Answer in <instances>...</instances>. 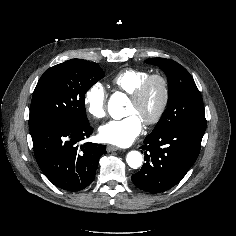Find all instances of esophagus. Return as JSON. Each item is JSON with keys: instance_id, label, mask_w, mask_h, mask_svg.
Returning a JSON list of instances; mask_svg holds the SVG:
<instances>
[{"instance_id": "34e87169", "label": "esophagus", "mask_w": 236, "mask_h": 236, "mask_svg": "<svg viewBox=\"0 0 236 236\" xmlns=\"http://www.w3.org/2000/svg\"><path fill=\"white\" fill-rule=\"evenodd\" d=\"M120 150V148H118L117 146L114 145H107V152H113V151H117Z\"/></svg>"}]
</instances>
